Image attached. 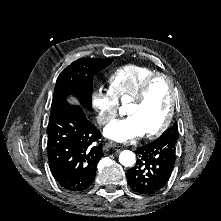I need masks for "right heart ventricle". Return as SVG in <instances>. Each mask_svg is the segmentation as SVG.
Returning <instances> with one entry per match:
<instances>
[{"label":"right heart ventricle","mask_w":221,"mask_h":221,"mask_svg":"<svg viewBox=\"0 0 221 221\" xmlns=\"http://www.w3.org/2000/svg\"><path fill=\"white\" fill-rule=\"evenodd\" d=\"M157 73L156 69L146 65L128 64L122 66L108 76L109 90L119 100H131L144 81Z\"/></svg>","instance_id":"1"}]
</instances>
